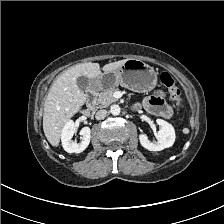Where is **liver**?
Returning <instances> with one entry per match:
<instances>
[{"label": "liver", "instance_id": "liver-1", "mask_svg": "<svg viewBox=\"0 0 224 224\" xmlns=\"http://www.w3.org/2000/svg\"><path fill=\"white\" fill-rule=\"evenodd\" d=\"M126 60L106 64L102 69L104 72L114 71ZM101 73L98 63H82L69 68L54 81L46 97L43 114L44 134L52 146L59 145L64 125L86 102L85 94L77 86V78L86 76L94 80Z\"/></svg>", "mask_w": 224, "mask_h": 224}]
</instances>
